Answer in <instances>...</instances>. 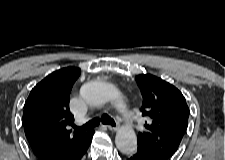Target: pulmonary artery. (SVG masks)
Returning <instances> with one entry per match:
<instances>
[{
  "instance_id": "obj_1",
  "label": "pulmonary artery",
  "mask_w": 225,
  "mask_h": 160,
  "mask_svg": "<svg viewBox=\"0 0 225 160\" xmlns=\"http://www.w3.org/2000/svg\"><path fill=\"white\" fill-rule=\"evenodd\" d=\"M126 118H129L128 115H126ZM138 127H140V124L138 123Z\"/></svg>"
}]
</instances>
